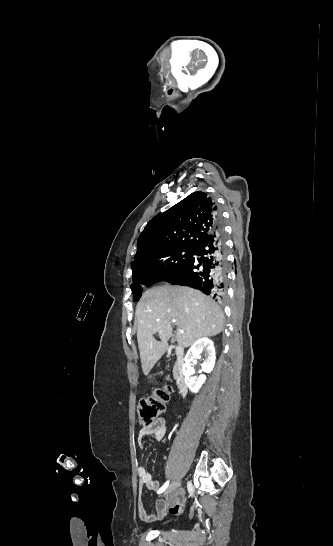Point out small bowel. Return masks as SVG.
<instances>
[{
    "label": "small bowel",
    "instance_id": "c3829d8e",
    "mask_svg": "<svg viewBox=\"0 0 333 546\" xmlns=\"http://www.w3.org/2000/svg\"><path fill=\"white\" fill-rule=\"evenodd\" d=\"M167 433L165 418H159L151 425L142 428L137 436V443L140 448L144 447L145 439L152 437L156 441L164 439ZM137 476L139 479L140 487L145 486L150 490H156L159 484L153 479L151 473L144 467L139 466L137 468ZM185 507V499L183 493L178 491L171 494L166 500H160L156 507V512H150L144 505L141 495L139 494L137 499V511L141 520L154 523L158 520H162L167 513L180 514Z\"/></svg>",
    "mask_w": 333,
    "mask_h": 546
}]
</instances>
